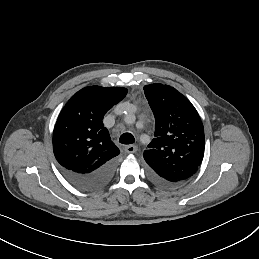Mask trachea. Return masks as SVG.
I'll list each match as a JSON object with an SVG mask.
<instances>
[{"label":"trachea","instance_id":"trachea-1","mask_svg":"<svg viewBox=\"0 0 259 259\" xmlns=\"http://www.w3.org/2000/svg\"><path fill=\"white\" fill-rule=\"evenodd\" d=\"M119 142L121 144H133L135 139L131 133H124L120 136Z\"/></svg>","mask_w":259,"mask_h":259}]
</instances>
